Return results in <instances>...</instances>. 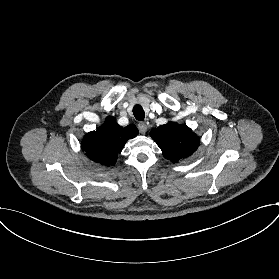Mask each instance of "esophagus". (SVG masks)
<instances>
[{"instance_id": "esophagus-1", "label": "esophagus", "mask_w": 279, "mask_h": 279, "mask_svg": "<svg viewBox=\"0 0 279 279\" xmlns=\"http://www.w3.org/2000/svg\"><path fill=\"white\" fill-rule=\"evenodd\" d=\"M137 127L141 134H145L148 129V126L145 122H140Z\"/></svg>"}]
</instances>
